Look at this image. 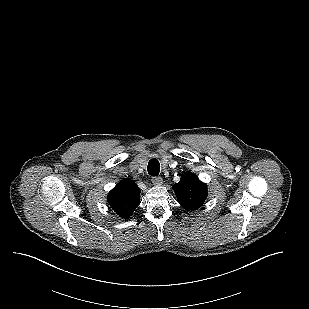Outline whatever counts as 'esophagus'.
I'll list each match as a JSON object with an SVG mask.
<instances>
[{"label":"esophagus","mask_w":309,"mask_h":309,"mask_svg":"<svg viewBox=\"0 0 309 309\" xmlns=\"http://www.w3.org/2000/svg\"><path fill=\"white\" fill-rule=\"evenodd\" d=\"M151 181L155 186H160L163 184V180L160 176H153Z\"/></svg>","instance_id":"34e87169"}]
</instances>
